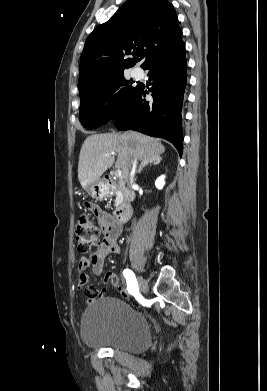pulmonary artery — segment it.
<instances>
[{
    "label": "pulmonary artery",
    "mask_w": 267,
    "mask_h": 391,
    "mask_svg": "<svg viewBox=\"0 0 267 391\" xmlns=\"http://www.w3.org/2000/svg\"><path fill=\"white\" fill-rule=\"evenodd\" d=\"M133 76L135 77V78H141V77H143V71L141 70V69H134L133 70Z\"/></svg>",
    "instance_id": "1"
}]
</instances>
